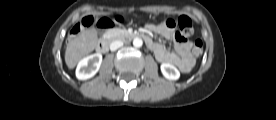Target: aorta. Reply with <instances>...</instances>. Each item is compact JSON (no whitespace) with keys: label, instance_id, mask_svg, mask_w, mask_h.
<instances>
[{"label":"aorta","instance_id":"aorta-1","mask_svg":"<svg viewBox=\"0 0 276 120\" xmlns=\"http://www.w3.org/2000/svg\"><path fill=\"white\" fill-rule=\"evenodd\" d=\"M142 45H143V41L141 38H138V37L134 38V40H133L134 47L140 48V47H142Z\"/></svg>","mask_w":276,"mask_h":120}]
</instances>
